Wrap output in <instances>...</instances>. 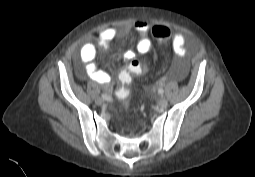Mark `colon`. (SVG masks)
<instances>
[{
	"mask_svg": "<svg viewBox=\"0 0 255 177\" xmlns=\"http://www.w3.org/2000/svg\"><path fill=\"white\" fill-rule=\"evenodd\" d=\"M154 38L158 40H166L170 37L171 31L166 26L156 25L152 28ZM146 70V64L141 61H132L119 75L121 83L120 89L116 92V96L120 100H127L130 95L129 85L134 75L143 73Z\"/></svg>",
	"mask_w": 255,
	"mask_h": 177,
	"instance_id": "5ec220e1",
	"label": "colon"
}]
</instances>
